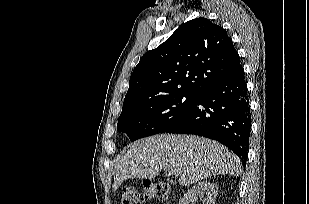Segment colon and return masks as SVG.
I'll use <instances>...</instances> for the list:
<instances>
[{
  "mask_svg": "<svg viewBox=\"0 0 309 204\" xmlns=\"http://www.w3.org/2000/svg\"><path fill=\"white\" fill-rule=\"evenodd\" d=\"M170 185L166 182H146L142 188L128 186L122 189V204H139L145 199H167L170 194Z\"/></svg>",
  "mask_w": 309,
  "mask_h": 204,
  "instance_id": "colon-1",
  "label": "colon"
}]
</instances>
